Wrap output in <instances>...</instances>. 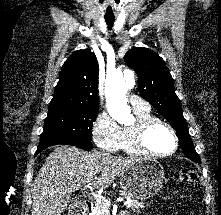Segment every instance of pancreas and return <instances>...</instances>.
Here are the masks:
<instances>
[{
	"label": "pancreas",
	"instance_id": "cf45deb5",
	"mask_svg": "<svg viewBox=\"0 0 221 215\" xmlns=\"http://www.w3.org/2000/svg\"><path fill=\"white\" fill-rule=\"evenodd\" d=\"M120 195L125 196V198L128 200L127 202L124 203L127 209L135 210L145 207L143 202H139L138 200L132 199L123 190L120 191ZM109 211H110V206L106 205L105 202H100V203L97 202L93 209L92 215H110Z\"/></svg>",
	"mask_w": 221,
	"mask_h": 215
}]
</instances>
